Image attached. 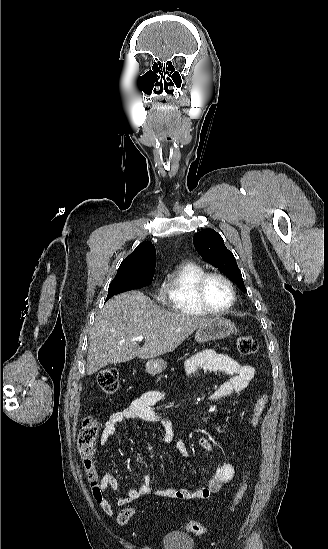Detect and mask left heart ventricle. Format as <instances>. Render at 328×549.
Wrapping results in <instances>:
<instances>
[{
  "label": "left heart ventricle",
  "instance_id": "b2bd125f",
  "mask_svg": "<svg viewBox=\"0 0 328 549\" xmlns=\"http://www.w3.org/2000/svg\"><path fill=\"white\" fill-rule=\"evenodd\" d=\"M206 308L213 311H221L226 308L231 301V291L229 286L219 278H212L205 287Z\"/></svg>",
  "mask_w": 328,
  "mask_h": 549
}]
</instances>
